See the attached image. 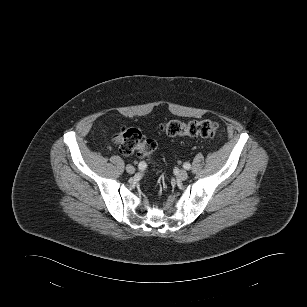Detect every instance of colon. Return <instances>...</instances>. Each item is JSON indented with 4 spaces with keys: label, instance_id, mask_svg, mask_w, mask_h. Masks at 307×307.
<instances>
[{
    "label": "colon",
    "instance_id": "5ec220e1",
    "mask_svg": "<svg viewBox=\"0 0 307 307\" xmlns=\"http://www.w3.org/2000/svg\"><path fill=\"white\" fill-rule=\"evenodd\" d=\"M161 131L168 136H188L211 138L217 133L218 126L209 119L183 122L178 119L169 120L161 125ZM112 142L120 153L129 155L136 153L141 158H150L157 148L154 139L144 138L135 128H123L113 135Z\"/></svg>",
    "mask_w": 307,
    "mask_h": 307
}]
</instances>
